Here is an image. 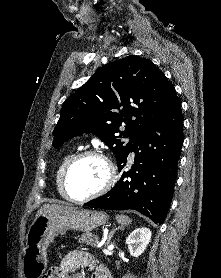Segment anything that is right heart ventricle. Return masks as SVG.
<instances>
[{"label":"right heart ventricle","mask_w":221,"mask_h":278,"mask_svg":"<svg viewBox=\"0 0 221 278\" xmlns=\"http://www.w3.org/2000/svg\"><path fill=\"white\" fill-rule=\"evenodd\" d=\"M73 155L72 150H67L63 156L61 157L58 165H57V169H56V174H55V184H56V188L59 192V194L64 197L63 192H62V188H61V176H62V172L64 169V166L66 165L67 161L70 159V157ZM65 198V197H64Z\"/></svg>","instance_id":"obj_1"}]
</instances>
